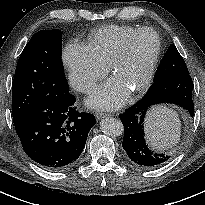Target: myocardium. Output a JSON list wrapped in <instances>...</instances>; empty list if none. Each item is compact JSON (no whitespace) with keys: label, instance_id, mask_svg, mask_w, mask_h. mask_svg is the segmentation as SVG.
Returning a JSON list of instances; mask_svg holds the SVG:
<instances>
[{"label":"myocardium","instance_id":"1","mask_svg":"<svg viewBox=\"0 0 205 205\" xmlns=\"http://www.w3.org/2000/svg\"><path fill=\"white\" fill-rule=\"evenodd\" d=\"M143 33L154 34L157 40V46H156L155 53L153 57L151 58L150 63L148 65V69H147L144 79L138 86L131 89V92L133 93H139V92L144 91L151 84L153 80V77H154V74L157 68V64H158V61L161 55V51H162V42H161V38L159 34L154 29L148 28V27H144V28H140L136 30L135 32H133L132 34L126 37L120 50L115 54V56L113 57L109 65L111 73L115 75L119 65L127 58L129 51H130L131 43L133 42L135 38H137L139 35Z\"/></svg>","mask_w":205,"mask_h":205}]
</instances>
